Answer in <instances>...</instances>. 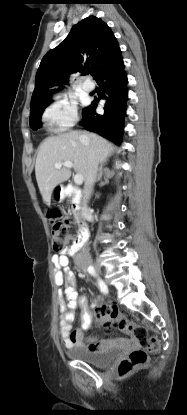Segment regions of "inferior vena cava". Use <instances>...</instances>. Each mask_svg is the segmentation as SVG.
<instances>
[{
  "mask_svg": "<svg viewBox=\"0 0 187 415\" xmlns=\"http://www.w3.org/2000/svg\"><path fill=\"white\" fill-rule=\"evenodd\" d=\"M82 140L87 145L88 149V167H87V176L85 180V186L83 190V203H82V214L85 215L87 212L86 204L90 198V195L93 190L94 183L96 182L97 172H98V160L94 151L89 146L87 140L82 137Z\"/></svg>",
  "mask_w": 187,
  "mask_h": 415,
  "instance_id": "obj_1",
  "label": "inferior vena cava"
}]
</instances>
